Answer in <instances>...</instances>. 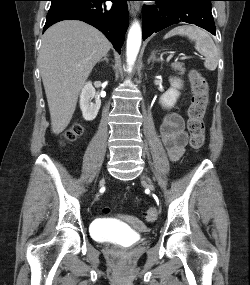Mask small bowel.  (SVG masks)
Listing matches in <instances>:
<instances>
[{"instance_id":"small-bowel-1","label":"small bowel","mask_w":250,"mask_h":285,"mask_svg":"<svg viewBox=\"0 0 250 285\" xmlns=\"http://www.w3.org/2000/svg\"><path fill=\"white\" fill-rule=\"evenodd\" d=\"M160 133L170 159L179 160L188 140L181 115L177 112L166 115L161 123Z\"/></svg>"}]
</instances>
